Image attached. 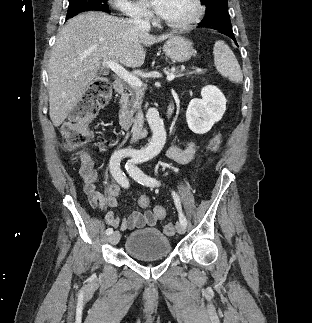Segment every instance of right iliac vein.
I'll use <instances>...</instances> for the list:
<instances>
[{
	"label": "right iliac vein",
	"mask_w": 312,
	"mask_h": 323,
	"mask_svg": "<svg viewBox=\"0 0 312 323\" xmlns=\"http://www.w3.org/2000/svg\"><path fill=\"white\" fill-rule=\"evenodd\" d=\"M119 239H120V233L119 231H115L110 235L109 242L114 245L118 243Z\"/></svg>",
	"instance_id": "right-iliac-vein-1"
}]
</instances>
